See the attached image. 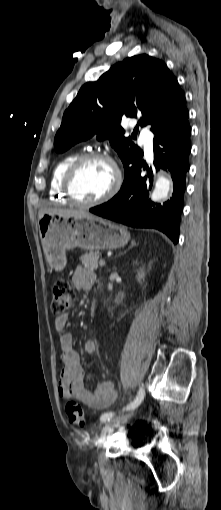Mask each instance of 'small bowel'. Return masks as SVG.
Returning <instances> with one entry per match:
<instances>
[{
    "instance_id": "small-bowel-1",
    "label": "small bowel",
    "mask_w": 221,
    "mask_h": 510,
    "mask_svg": "<svg viewBox=\"0 0 221 510\" xmlns=\"http://www.w3.org/2000/svg\"><path fill=\"white\" fill-rule=\"evenodd\" d=\"M92 270L78 266L72 275V282L79 290L90 289L95 282ZM69 323V315L62 314L55 318V328L63 331ZM62 368L59 375L58 394L63 399H74L90 409H102L110 406L116 399L113 383L105 380L96 385L94 389L86 387L87 371L74 350V341L71 334H63L60 338ZM85 353L92 355L96 352L94 341H87L84 346Z\"/></svg>"
}]
</instances>
